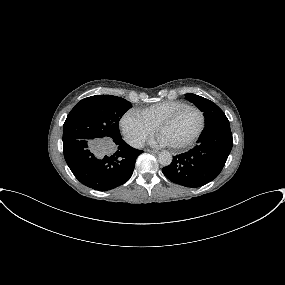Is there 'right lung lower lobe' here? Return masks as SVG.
<instances>
[{"label":"right lung lower lobe","instance_id":"right-lung-lower-lobe-1","mask_svg":"<svg viewBox=\"0 0 285 285\" xmlns=\"http://www.w3.org/2000/svg\"><path fill=\"white\" fill-rule=\"evenodd\" d=\"M113 153H106L99 141L76 139L63 143L64 157L74 176L98 191L114 189L129 180L136 158L143 151L124 140H113Z\"/></svg>","mask_w":285,"mask_h":285}]
</instances>
